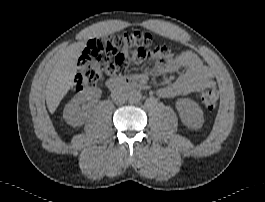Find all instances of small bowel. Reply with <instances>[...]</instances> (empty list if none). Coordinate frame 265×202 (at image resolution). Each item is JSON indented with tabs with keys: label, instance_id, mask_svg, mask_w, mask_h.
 <instances>
[{
	"label": "small bowel",
	"instance_id": "small-bowel-1",
	"mask_svg": "<svg viewBox=\"0 0 265 202\" xmlns=\"http://www.w3.org/2000/svg\"><path fill=\"white\" fill-rule=\"evenodd\" d=\"M98 40L99 38L89 40L82 53L89 55ZM181 67L185 68V72L159 91L161 97L174 98L214 85L212 70L205 66L192 51H184L179 54H170L165 51L153 64L147 67L145 73L159 76L174 73Z\"/></svg>",
	"mask_w": 265,
	"mask_h": 202
}]
</instances>
